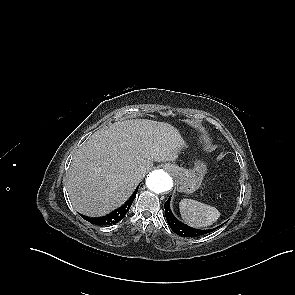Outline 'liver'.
<instances>
[{
  "label": "liver",
  "instance_id": "obj_1",
  "mask_svg": "<svg viewBox=\"0 0 295 295\" xmlns=\"http://www.w3.org/2000/svg\"><path fill=\"white\" fill-rule=\"evenodd\" d=\"M185 146L179 131L165 122L125 120L96 131L68 171L72 205L91 217L110 213L130 197L153 162L175 161Z\"/></svg>",
  "mask_w": 295,
  "mask_h": 295
}]
</instances>
